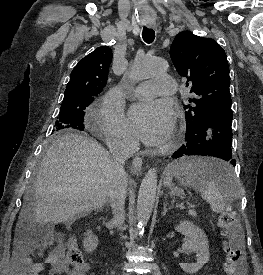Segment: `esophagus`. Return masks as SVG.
Masks as SVG:
<instances>
[{
    "label": "esophagus",
    "instance_id": "34e87169",
    "mask_svg": "<svg viewBox=\"0 0 263 275\" xmlns=\"http://www.w3.org/2000/svg\"><path fill=\"white\" fill-rule=\"evenodd\" d=\"M154 27L157 31H160V29H161V26L159 24L155 25ZM142 164H143L142 158L139 156L135 157L132 161V171L133 172L140 171L142 168Z\"/></svg>",
    "mask_w": 263,
    "mask_h": 275
}]
</instances>
